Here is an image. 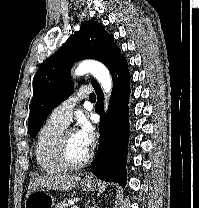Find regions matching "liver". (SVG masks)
<instances>
[{
    "mask_svg": "<svg viewBox=\"0 0 199 208\" xmlns=\"http://www.w3.org/2000/svg\"><path fill=\"white\" fill-rule=\"evenodd\" d=\"M80 174L75 175H47L33 178L29 185L26 197L31 195L33 192L42 189H53L59 191L70 190L79 183Z\"/></svg>",
    "mask_w": 199,
    "mask_h": 208,
    "instance_id": "1",
    "label": "liver"
}]
</instances>
